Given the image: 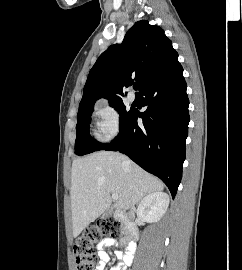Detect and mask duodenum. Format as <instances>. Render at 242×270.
<instances>
[{"label":"duodenum","instance_id":"410a0bca","mask_svg":"<svg viewBox=\"0 0 242 270\" xmlns=\"http://www.w3.org/2000/svg\"><path fill=\"white\" fill-rule=\"evenodd\" d=\"M114 216L115 218L123 222L125 225L126 240H123L122 242L124 244L126 243L127 245H131L129 252L132 253L135 249L133 242L137 240L138 238V231H137V227L134 222V219H133V215L130 212H123V211L117 210L114 212Z\"/></svg>","mask_w":242,"mask_h":270}]
</instances>
